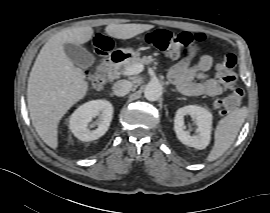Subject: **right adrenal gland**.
I'll return each instance as SVG.
<instances>
[{
	"label": "right adrenal gland",
	"mask_w": 270,
	"mask_h": 213,
	"mask_svg": "<svg viewBox=\"0 0 270 213\" xmlns=\"http://www.w3.org/2000/svg\"><path fill=\"white\" fill-rule=\"evenodd\" d=\"M110 95H111L112 97H114V94H113V93H111Z\"/></svg>",
	"instance_id": "right-adrenal-gland-1"
}]
</instances>
